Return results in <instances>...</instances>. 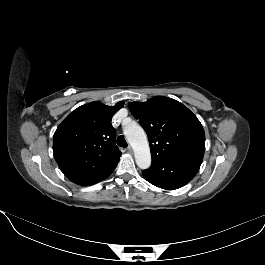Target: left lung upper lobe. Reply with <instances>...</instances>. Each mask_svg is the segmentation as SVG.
I'll list each match as a JSON object with an SVG mask.
<instances>
[{"instance_id":"left-lung-upper-lobe-1","label":"left lung upper lobe","mask_w":265,"mask_h":265,"mask_svg":"<svg viewBox=\"0 0 265 265\" xmlns=\"http://www.w3.org/2000/svg\"><path fill=\"white\" fill-rule=\"evenodd\" d=\"M128 107L148 135L152 163L204 154V129L180 102L156 96L146 102H130Z\"/></svg>"}]
</instances>
